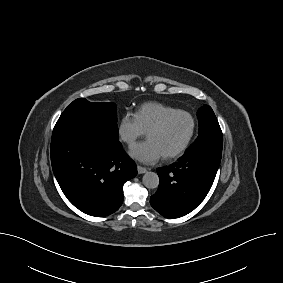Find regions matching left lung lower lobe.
Wrapping results in <instances>:
<instances>
[{
  "label": "left lung lower lobe",
  "mask_w": 283,
  "mask_h": 283,
  "mask_svg": "<svg viewBox=\"0 0 283 283\" xmlns=\"http://www.w3.org/2000/svg\"><path fill=\"white\" fill-rule=\"evenodd\" d=\"M220 161L221 157L199 150L184 154L168 167L158 168L160 183L150 197L151 206L167 218L190 213L208 194Z\"/></svg>",
  "instance_id": "0a47b994"
}]
</instances>
